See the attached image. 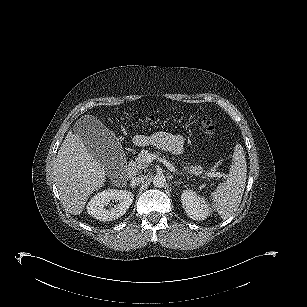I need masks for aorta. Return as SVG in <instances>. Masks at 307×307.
Returning a JSON list of instances; mask_svg holds the SVG:
<instances>
[{
	"label": "aorta",
	"instance_id": "1",
	"mask_svg": "<svg viewBox=\"0 0 307 307\" xmlns=\"http://www.w3.org/2000/svg\"><path fill=\"white\" fill-rule=\"evenodd\" d=\"M153 185L157 188H162L166 184V178L164 175H156L153 177Z\"/></svg>",
	"mask_w": 307,
	"mask_h": 307
}]
</instances>
